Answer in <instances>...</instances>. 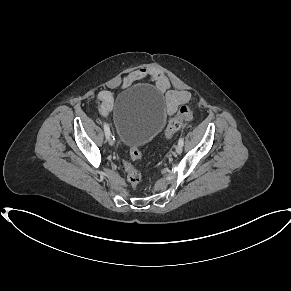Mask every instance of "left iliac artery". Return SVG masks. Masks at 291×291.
Segmentation results:
<instances>
[{"instance_id":"left-iliac-artery-1","label":"left iliac artery","mask_w":291,"mask_h":291,"mask_svg":"<svg viewBox=\"0 0 291 291\" xmlns=\"http://www.w3.org/2000/svg\"><path fill=\"white\" fill-rule=\"evenodd\" d=\"M179 143L183 145V143H184V137H180Z\"/></svg>"}]
</instances>
